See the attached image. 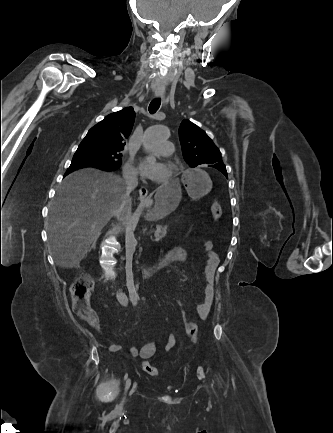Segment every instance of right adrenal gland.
Segmentation results:
<instances>
[{"label": "right adrenal gland", "mask_w": 333, "mask_h": 433, "mask_svg": "<svg viewBox=\"0 0 333 433\" xmlns=\"http://www.w3.org/2000/svg\"><path fill=\"white\" fill-rule=\"evenodd\" d=\"M96 247V242H94L93 244H92V246L90 247V249H89V251L88 252H90L93 248H95Z\"/></svg>", "instance_id": "right-adrenal-gland-1"}]
</instances>
